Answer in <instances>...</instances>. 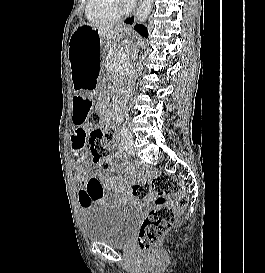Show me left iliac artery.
Segmentation results:
<instances>
[{
    "label": "left iliac artery",
    "instance_id": "1",
    "mask_svg": "<svg viewBox=\"0 0 265 273\" xmlns=\"http://www.w3.org/2000/svg\"><path fill=\"white\" fill-rule=\"evenodd\" d=\"M121 133H122V135H124L125 137H131V134L129 133V131H128V129H127L126 127H122Z\"/></svg>",
    "mask_w": 265,
    "mask_h": 273
}]
</instances>
